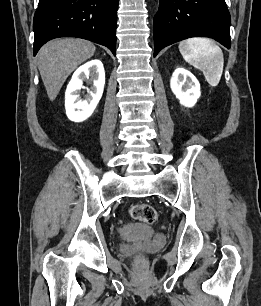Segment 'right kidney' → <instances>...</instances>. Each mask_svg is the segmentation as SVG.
<instances>
[{
	"label": "right kidney",
	"instance_id": "obj_1",
	"mask_svg": "<svg viewBox=\"0 0 261 306\" xmlns=\"http://www.w3.org/2000/svg\"><path fill=\"white\" fill-rule=\"evenodd\" d=\"M93 82V87L87 89L84 98L80 96L83 81L89 79ZM105 84V72L100 60H91L80 66L73 74L66 92L65 109L67 117L74 122H82L89 118L99 103Z\"/></svg>",
	"mask_w": 261,
	"mask_h": 306
}]
</instances>
